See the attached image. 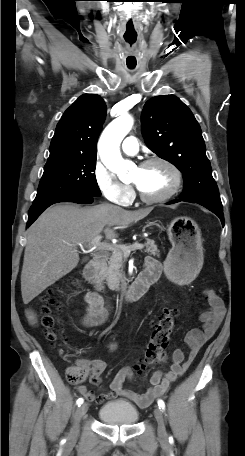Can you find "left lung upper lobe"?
I'll return each instance as SVG.
<instances>
[{
    "mask_svg": "<svg viewBox=\"0 0 245 456\" xmlns=\"http://www.w3.org/2000/svg\"><path fill=\"white\" fill-rule=\"evenodd\" d=\"M142 134L147 147L183 174L181 199L222 209L201 128L190 109L176 96H157L144 105Z\"/></svg>",
    "mask_w": 245,
    "mask_h": 456,
    "instance_id": "1",
    "label": "left lung upper lobe"
}]
</instances>
